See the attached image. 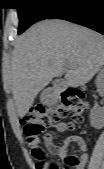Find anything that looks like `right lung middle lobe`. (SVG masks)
Listing matches in <instances>:
<instances>
[{
    "label": "right lung middle lobe",
    "instance_id": "obj_1",
    "mask_svg": "<svg viewBox=\"0 0 104 169\" xmlns=\"http://www.w3.org/2000/svg\"><path fill=\"white\" fill-rule=\"evenodd\" d=\"M18 6L19 31L21 34L33 23L48 19L53 13L73 0H15Z\"/></svg>",
    "mask_w": 104,
    "mask_h": 169
}]
</instances>
